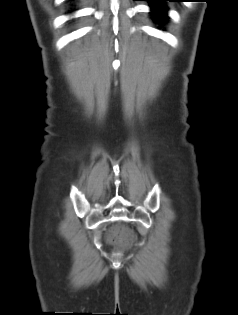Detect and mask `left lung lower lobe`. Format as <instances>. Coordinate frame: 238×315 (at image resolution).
Returning <instances> with one entry per match:
<instances>
[{
    "label": "left lung lower lobe",
    "instance_id": "left-lung-lower-lobe-1",
    "mask_svg": "<svg viewBox=\"0 0 238 315\" xmlns=\"http://www.w3.org/2000/svg\"><path fill=\"white\" fill-rule=\"evenodd\" d=\"M150 2V7L152 9L151 15L153 20L158 21L159 23H163L167 20V16L165 14L167 7L165 5V1L173 2V0H144Z\"/></svg>",
    "mask_w": 238,
    "mask_h": 315
}]
</instances>
